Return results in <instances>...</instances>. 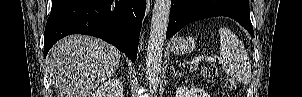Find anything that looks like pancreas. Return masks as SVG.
<instances>
[{"instance_id": "cf45deb5", "label": "pancreas", "mask_w": 302, "mask_h": 97, "mask_svg": "<svg viewBox=\"0 0 302 97\" xmlns=\"http://www.w3.org/2000/svg\"><path fill=\"white\" fill-rule=\"evenodd\" d=\"M198 68L196 67V66H193L192 68H191V71H195V70H197Z\"/></svg>"}]
</instances>
